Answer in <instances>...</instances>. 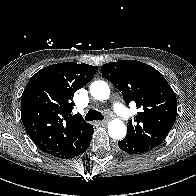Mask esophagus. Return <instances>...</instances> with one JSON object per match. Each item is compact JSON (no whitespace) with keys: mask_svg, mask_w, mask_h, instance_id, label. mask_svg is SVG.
<instances>
[{"mask_svg":"<svg viewBox=\"0 0 196 196\" xmlns=\"http://www.w3.org/2000/svg\"><path fill=\"white\" fill-rule=\"evenodd\" d=\"M107 123H108L107 120H104V121L99 122L100 125H106Z\"/></svg>","mask_w":196,"mask_h":196,"instance_id":"1","label":"esophagus"}]
</instances>
